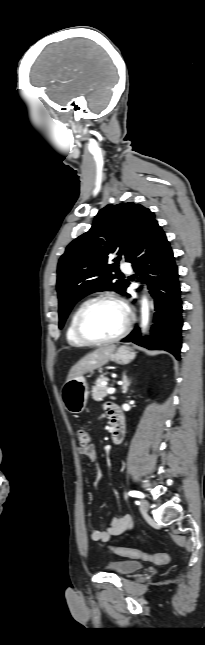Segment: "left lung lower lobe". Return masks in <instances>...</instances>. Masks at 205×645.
<instances>
[{"label": "left lung lower lobe", "mask_w": 205, "mask_h": 645, "mask_svg": "<svg viewBox=\"0 0 205 645\" xmlns=\"http://www.w3.org/2000/svg\"><path fill=\"white\" fill-rule=\"evenodd\" d=\"M131 262L134 270L146 276L156 313L150 338H143L135 329L122 342L163 349L180 359L183 321L179 275L170 244L157 221L148 228Z\"/></svg>", "instance_id": "obj_1"}]
</instances>
